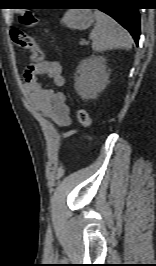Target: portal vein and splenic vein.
<instances>
[{
  "instance_id": "obj_1",
  "label": "portal vein and splenic vein",
  "mask_w": 156,
  "mask_h": 266,
  "mask_svg": "<svg viewBox=\"0 0 156 266\" xmlns=\"http://www.w3.org/2000/svg\"><path fill=\"white\" fill-rule=\"evenodd\" d=\"M85 42L84 41H81V45H83Z\"/></svg>"
}]
</instances>
